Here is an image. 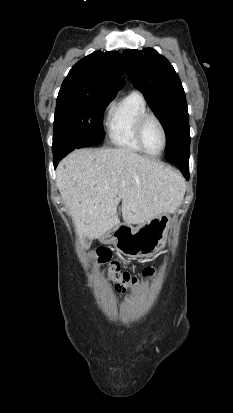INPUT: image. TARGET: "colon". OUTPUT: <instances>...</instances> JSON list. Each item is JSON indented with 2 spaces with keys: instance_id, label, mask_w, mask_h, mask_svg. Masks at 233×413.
<instances>
[{
  "instance_id": "1",
  "label": "colon",
  "mask_w": 233,
  "mask_h": 413,
  "mask_svg": "<svg viewBox=\"0 0 233 413\" xmlns=\"http://www.w3.org/2000/svg\"><path fill=\"white\" fill-rule=\"evenodd\" d=\"M94 255L98 264L106 266L108 277L116 284L119 291H126L137 284L138 280L136 277H132L128 272L122 271L120 263L112 260L109 249L99 248ZM153 275V268H145L143 270V277L151 278Z\"/></svg>"
}]
</instances>
